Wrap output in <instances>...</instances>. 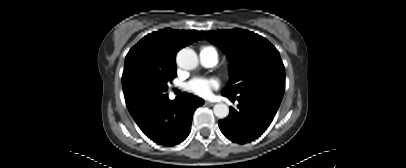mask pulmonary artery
<instances>
[{"label": "pulmonary artery", "instance_id": "obj_1", "mask_svg": "<svg viewBox=\"0 0 406 168\" xmlns=\"http://www.w3.org/2000/svg\"><path fill=\"white\" fill-rule=\"evenodd\" d=\"M200 61L206 67H213L218 61V54L215 50L201 51Z\"/></svg>", "mask_w": 406, "mask_h": 168}]
</instances>
